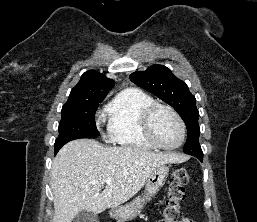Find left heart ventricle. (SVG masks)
<instances>
[{
  "label": "left heart ventricle",
  "instance_id": "left-heart-ventricle-1",
  "mask_svg": "<svg viewBox=\"0 0 257 222\" xmlns=\"http://www.w3.org/2000/svg\"><path fill=\"white\" fill-rule=\"evenodd\" d=\"M157 140L166 146L176 145L180 141V127L175 117L167 110H159L152 121Z\"/></svg>",
  "mask_w": 257,
  "mask_h": 222
}]
</instances>
